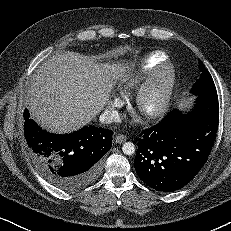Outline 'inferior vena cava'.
<instances>
[{
	"mask_svg": "<svg viewBox=\"0 0 231 231\" xmlns=\"http://www.w3.org/2000/svg\"><path fill=\"white\" fill-rule=\"evenodd\" d=\"M99 120L101 123L110 124L112 122H118L120 120V116L117 111H105L100 115Z\"/></svg>",
	"mask_w": 231,
	"mask_h": 231,
	"instance_id": "inferior-vena-cava-1",
	"label": "inferior vena cava"
}]
</instances>
